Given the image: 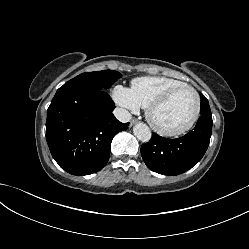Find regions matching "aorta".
I'll use <instances>...</instances> for the list:
<instances>
[{"label": "aorta", "instance_id": "aorta-1", "mask_svg": "<svg viewBox=\"0 0 249 249\" xmlns=\"http://www.w3.org/2000/svg\"><path fill=\"white\" fill-rule=\"evenodd\" d=\"M133 133L142 142H148L152 136L150 128L144 123L136 124L133 128Z\"/></svg>", "mask_w": 249, "mask_h": 249}]
</instances>
